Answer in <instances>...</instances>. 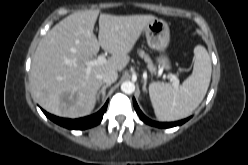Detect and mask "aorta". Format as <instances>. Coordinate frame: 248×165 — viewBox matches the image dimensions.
<instances>
[{
    "label": "aorta",
    "instance_id": "762f6f07",
    "mask_svg": "<svg viewBox=\"0 0 248 165\" xmlns=\"http://www.w3.org/2000/svg\"><path fill=\"white\" fill-rule=\"evenodd\" d=\"M121 90L125 94H132L135 91V84L131 81H125L121 84Z\"/></svg>",
    "mask_w": 248,
    "mask_h": 165
}]
</instances>
